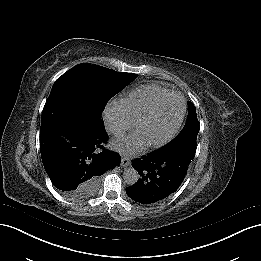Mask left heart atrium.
Returning <instances> with one entry per match:
<instances>
[{"label": "left heart atrium", "mask_w": 261, "mask_h": 261, "mask_svg": "<svg viewBox=\"0 0 261 261\" xmlns=\"http://www.w3.org/2000/svg\"><path fill=\"white\" fill-rule=\"evenodd\" d=\"M112 146L115 150L125 155H132L140 149L141 145L134 136L128 135L113 140Z\"/></svg>", "instance_id": "obj_1"}]
</instances>
